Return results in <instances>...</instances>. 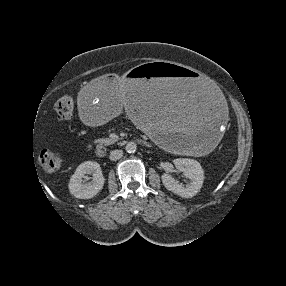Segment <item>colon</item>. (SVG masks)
Here are the masks:
<instances>
[{
  "label": "colon",
  "mask_w": 286,
  "mask_h": 286,
  "mask_svg": "<svg viewBox=\"0 0 286 286\" xmlns=\"http://www.w3.org/2000/svg\"><path fill=\"white\" fill-rule=\"evenodd\" d=\"M75 107V101L71 96H63L54 105L55 112L60 119L69 118ZM39 161L43 169L48 173L56 172L63 164V156L51 150L44 149L40 152Z\"/></svg>",
  "instance_id": "1"
}]
</instances>
